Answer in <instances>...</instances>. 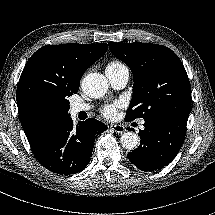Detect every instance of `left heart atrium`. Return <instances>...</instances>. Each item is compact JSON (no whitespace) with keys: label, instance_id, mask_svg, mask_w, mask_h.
<instances>
[{"label":"left heart atrium","instance_id":"left-heart-atrium-1","mask_svg":"<svg viewBox=\"0 0 215 215\" xmlns=\"http://www.w3.org/2000/svg\"><path fill=\"white\" fill-rule=\"evenodd\" d=\"M123 103L121 101H116L113 104L105 105L101 108L102 115L107 119H113L116 117L117 112L122 108Z\"/></svg>","mask_w":215,"mask_h":215}]
</instances>
